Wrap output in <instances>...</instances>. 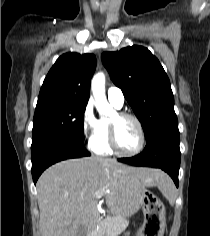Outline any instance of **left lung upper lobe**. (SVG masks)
I'll return each instance as SVG.
<instances>
[{
	"instance_id": "obj_1",
	"label": "left lung upper lobe",
	"mask_w": 210,
	"mask_h": 236,
	"mask_svg": "<svg viewBox=\"0 0 210 236\" xmlns=\"http://www.w3.org/2000/svg\"><path fill=\"white\" fill-rule=\"evenodd\" d=\"M102 62L141 122L146 140L161 129L178 126L169 78L147 48L134 45L105 52Z\"/></svg>"
}]
</instances>
